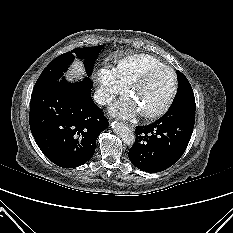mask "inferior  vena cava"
I'll list each match as a JSON object with an SVG mask.
<instances>
[{"mask_svg":"<svg viewBox=\"0 0 233 233\" xmlns=\"http://www.w3.org/2000/svg\"><path fill=\"white\" fill-rule=\"evenodd\" d=\"M93 98L96 103L106 105L114 99V95L108 91L99 89L95 91Z\"/></svg>","mask_w":233,"mask_h":233,"instance_id":"obj_1","label":"inferior vena cava"}]
</instances>
